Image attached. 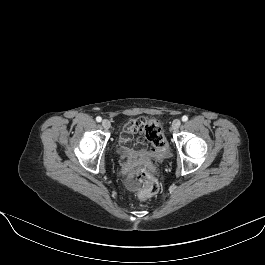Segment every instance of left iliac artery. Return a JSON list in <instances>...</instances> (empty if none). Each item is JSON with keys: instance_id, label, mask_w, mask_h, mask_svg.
Segmentation results:
<instances>
[{"instance_id": "left-iliac-artery-1", "label": "left iliac artery", "mask_w": 265, "mask_h": 265, "mask_svg": "<svg viewBox=\"0 0 265 265\" xmlns=\"http://www.w3.org/2000/svg\"><path fill=\"white\" fill-rule=\"evenodd\" d=\"M187 120H188V116L184 115V116L182 117V121H183V122H186Z\"/></svg>"}]
</instances>
